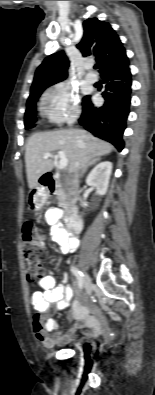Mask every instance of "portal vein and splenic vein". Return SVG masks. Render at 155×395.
<instances>
[{
  "instance_id": "portal-vein-and-splenic-vein-1",
  "label": "portal vein and splenic vein",
  "mask_w": 155,
  "mask_h": 395,
  "mask_svg": "<svg viewBox=\"0 0 155 395\" xmlns=\"http://www.w3.org/2000/svg\"><path fill=\"white\" fill-rule=\"evenodd\" d=\"M52 156L50 152H47L43 155L44 159H48ZM58 157L60 158L59 163H58V169L62 170L68 165V159L63 151L58 152Z\"/></svg>"
}]
</instances>
